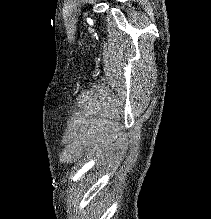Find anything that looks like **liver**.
<instances>
[{"instance_id": "liver-1", "label": "liver", "mask_w": 211, "mask_h": 219, "mask_svg": "<svg viewBox=\"0 0 211 219\" xmlns=\"http://www.w3.org/2000/svg\"><path fill=\"white\" fill-rule=\"evenodd\" d=\"M90 217H91L90 219H94L95 218V212H94V216L92 214Z\"/></svg>"}]
</instances>
